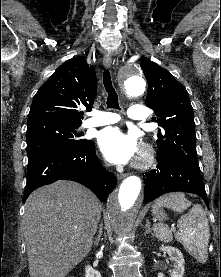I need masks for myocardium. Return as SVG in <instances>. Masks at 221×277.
Here are the masks:
<instances>
[{
  "label": "myocardium",
  "instance_id": "1",
  "mask_svg": "<svg viewBox=\"0 0 221 277\" xmlns=\"http://www.w3.org/2000/svg\"><path fill=\"white\" fill-rule=\"evenodd\" d=\"M154 162V150L151 146L145 144L142 146L137 160L134 162L133 167L136 169L149 168Z\"/></svg>",
  "mask_w": 221,
  "mask_h": 277
}]
</instances>
